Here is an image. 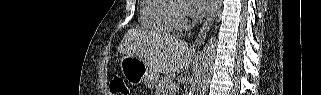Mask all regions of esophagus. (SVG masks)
I'll list each match as a JSON object with an SVG mask.
<instances>
[{"label":"esophagus","instance_id":"34e87169","mask_svg":"<svg viewBox=\"0 0 321 95\" xmlns=\"http://www.w3.org/2000/svg\"><path fill=\"white\" fill-rule=\"evenodd\" d=\"M219 3L220 1L219 0H215L213 5H212V8H211V11L206 19V21L204 22L196 40H195V45L196 46H199L206 38L211 26H212V23L215 19V15H216V12H217V9L219 7Z\"/></svg>","mask_w":321,"mask_h":95}]
</instances>
